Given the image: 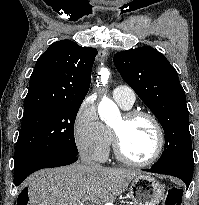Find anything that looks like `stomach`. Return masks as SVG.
<instances>
[{
	"label": "stomach",
	"instance_id": "stomach-1",
	"mask_svg": "<svg viewBox=\"0 0 199 205\" xmlns=\"http://www.w3.org/2000/svg\"><path fill=\"white\" fill-rule=\"evenodd\" d=\"M165 194L164 186L155 178L139 174L131 181L128 196L134 205H157Z\"/></svg>",
	"mask_w": 199,
	"mask_h": 205
}]
</instances>
